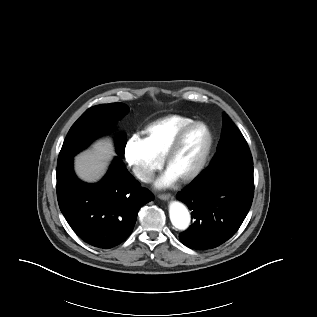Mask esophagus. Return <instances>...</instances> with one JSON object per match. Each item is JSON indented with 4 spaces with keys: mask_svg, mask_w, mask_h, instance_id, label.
<instances>
[{
    "mask_svg": "<svg viewBox=\"0 0 317 317\" xmlns=\"http://www.w3.org/2000/svg\"><path fill=\"white\" fill-rule=\"evenodd\" d=\"M161 200H169L171 198V194H159L158 196Z\"/></svg>",
    "mask_w": 317,
    "mask_h": 317,
    "instance_id": "esophagus-1",
    "label": "esophagus"
}]
</instances>
